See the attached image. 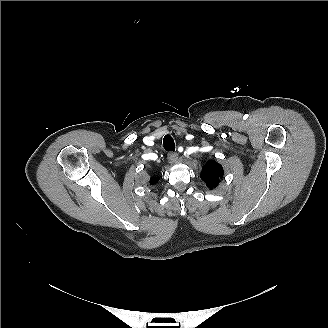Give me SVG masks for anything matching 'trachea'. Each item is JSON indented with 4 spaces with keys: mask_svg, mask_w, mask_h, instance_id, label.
I'll use <instances>...</instances> for the list:
<instances>
[{
    "mask_svg": "<svg viewBox=\"0 0 328 328\" xmlns=\"http://www.w3.org/2000/svg\"><path fill=\"white\" fill-rule=\"evenodd\" d=\"M163 145L166 151H175L174 139L170 135H165Z\"/></svg>",
    "mask_w": 328,
    "mask_h": 328,
    "instance_id": "3493384b",
    "label": "trachea"
}]
</instances>
